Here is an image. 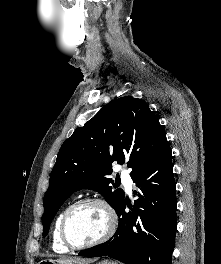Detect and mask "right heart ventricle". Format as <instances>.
<instances>
[{
    "mask_svg": "<svg viewBox=\"0 0 221 264\" xmlns=\"http://www.w3.org/2000/svg\"><path fill=\"white\" fill-rule=\"evenodd\" d=\"M64 212L65 210H63L56 218L52 231V248L58 253H65L69 251V249L62 243L59 232L60 222Z\"/></svg>",
    "mask_w": 221,
    "mask_h": 264,
    "instance_id": "right-heart-ventricle-1",
    "label": "right heart ventricle"
}]
</instances>
